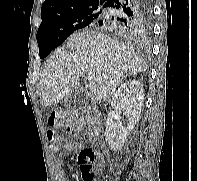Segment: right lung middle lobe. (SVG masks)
I'll list each match as a JSON object with an SVG mask.
<instances>
[{"instance_id": "1", "label": "right lung middle lobe", "mask_w": 197, "mask_h": 181, "mask_svg": "<svg viewBox=\"0 0 197 181\" xmlns=\"http://www.w3.org/2000/svg\"><path fill=\"white\" fill-rule=\"evenodd\" d=\"M101 5L79 7L42 19L36 38L39 55L44 59L74 31L91 26L100 19Z\"/></svg>"}]
</instances>
